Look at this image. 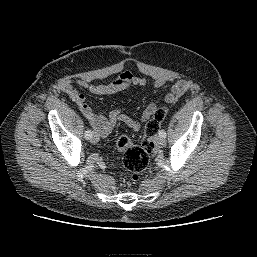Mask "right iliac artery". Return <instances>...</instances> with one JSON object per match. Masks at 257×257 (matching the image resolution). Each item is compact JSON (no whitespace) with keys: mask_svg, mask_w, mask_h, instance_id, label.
<instances>
[{"mask_svg":"<svg viewBox=\"0 0 257 257\" xmlns=\"http://www.w3.org/2000/svg\"><path fill=\"white\" fill-rule=\"evenodd\" d=\"M84 137H85L87 140L90 139V138L92 137V131L89 130V129H87V130L85 131Z\"/></svg>","mask_w":257,"mask_h":257,"instance_id":"right-iliac-artery-1","label":"right iliac artery"}]
</instances>
